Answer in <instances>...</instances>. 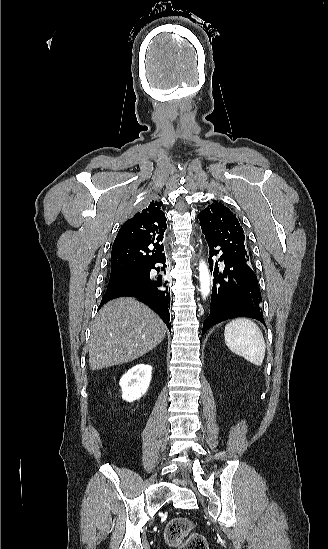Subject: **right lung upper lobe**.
Returning <instances> with one entry per match:
<instances>
[{
	"instance_id": "cb5924a9",
	"label": "right lung upper lobe",
	"mask_w": 328,
	"mask_h": 549,
	"mask_svg": "<svg viewBox=\"0 0 328 549\" xmlns=\"http://www.w3.org/2000/svg\"><path fill=\"white\" fill-rule=\"evenodd\" d=\"M161 205L151 201L121 226L112 246L111 275L148 270L164 255L167 225Z\"/></svg>"
}]
</instances>
